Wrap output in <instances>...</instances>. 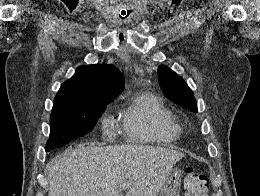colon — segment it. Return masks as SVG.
I'll return each mask as SVG.
<instances>
[{"mask_svg":"<svg viewBox=\"0 0 260 196\" xmlns=\"http://www.w3.org/2000/svg\"><path fill=\"white\" fill-rule=\"evenodd\" d=\"M186 196H207L209 179L207 175L189 169L183 178Z\"/></svg>","mask_w":260,"mask_h":196,"instance_id":"1","label":"colon"}]
</instances>
